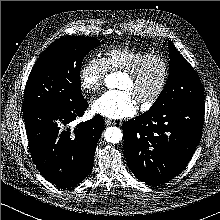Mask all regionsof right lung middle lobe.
<instances>
[{
	"mask_svg": "<svg viewBox=\"0 0 220 220\" xmlns=\"http://www.w3.org/2000/svg\"><path fill=\"white\" fill-rule=\"evenodd\" d=\"M99 41L65 36L54 41L34 64L25 88L23 110L40 106L71 107L83 100L80 69Z\"/></svg>",
	"mask_w": 220,
	"mask_h": 220,
	"instance_id": "obj_1",
	"label": "right lung middle lobe"
}]
</instances>
